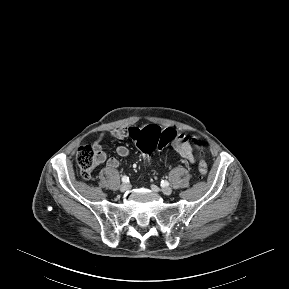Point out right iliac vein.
<instances>
[{
    "instance_id": "right-iliac-vein-1",
    "label": "right iliac vein",
    "mask_w": 289,
    "mask_h": 289,
    "mask_svg": "<svg viewBox=\"0 0 289 289\" xmlns=\"http://www.w3.org/2000/svg\"><path fill=\"white\" fill-rule=\"evenodd\" d=\"M130 189V185L128 183H123L121 186H120V191L121 192H126Z\"/></svg>"
}]
</instances>
